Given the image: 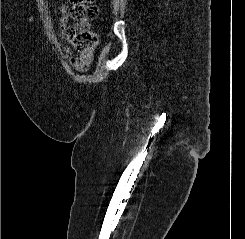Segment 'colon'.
<instances>
[{"mask_svg":"<svg viewBox=\"0 0 245 239\" xmlns=\"http://www.w3.org/2000/svg\"><path fill=\"white\" fill-rule=\"evenodd\" d=\"M69 2L70 15L78 23L68 26L64 36L78 56L90 55L97 46V35L88 27L87 22L97 17L98 7L94 0H69Z\"/></svg>","mask_w":245,"mask_h":239,"instance_id":"obj_1","label":"colon"}]
</instances>
